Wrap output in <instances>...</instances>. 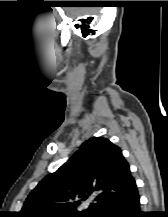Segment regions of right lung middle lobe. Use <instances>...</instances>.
<instances>
[{
    "label": "right lung middle lobe",
    "instance_id": "right-lung-middle-lobe-1",
    "mask_svg": "<svg viewBox=\"0 0 168 217\" xmlns=\"http://www.w3.org/2000/svg\"><path fill=\"white\" fill-rule=\"evenodd\" d=\"M53 217H88V216H80V215H56Z\"/></svg>",
    "mask_w": 168,
    "mask_h": 217
}]
</instances>
